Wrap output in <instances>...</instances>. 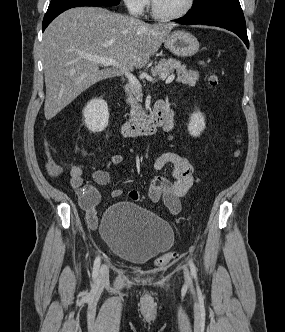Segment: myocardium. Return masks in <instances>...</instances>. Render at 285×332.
<instances>
[{
	"label": "myocardium",
	"instance_id": "obj_1",
	"mask_svg": "<svg viewBox=\"0 0 285 332\" xmlns=\"http://www.w3.org/2000/svg\"><path fill=\"white\" fill-rule=\"evenodd\" d=\"M194 5H195V0H188L186 7L182 11H180L179 13L173 14V15H166V14L159 13L155 8L154 1L151 0L150 11H151L152 17L157 20L176 21V20H179V19L183 18L184 16H186L192 10Z\"/></svg>",
	"mask_w": 285,
	"mask_h": 332
}]
</instances>
